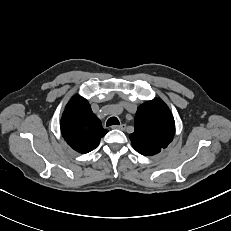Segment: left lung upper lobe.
<instances>
[{
	"instance_id": "obj_1",
	"label": "left lung upper lobe",
	"mask_w": 231,
	"mask_h": 231,
	"mask_svg": "<svg viewBox=\"0 0 231 231\" xmlns=\"http://www.w3.org/2000/svg\"><path fill=\"white\" fill-rule=\"evenodd\" d=\"M130 135L133 148L142 155H154L173 140L175 122L167 105L158 98L141 104Z\"/></svg>"
}]
</instances>
